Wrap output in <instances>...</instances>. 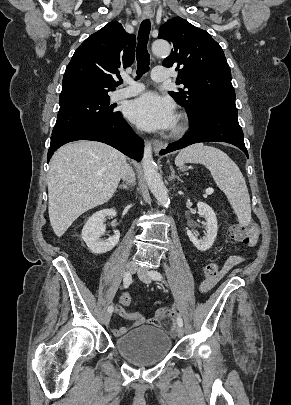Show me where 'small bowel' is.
<instances>
[{"label": "small bowel", "instance_id": "obj_1", "mask_svg": "<svg viewBox=\"0 0 291 405\" xmlns=\"http://www.w3.org/2000/svg\"><path fill=\"white\" fill-rule=\"evenodd\" d=\"M257 237H258L257 229L256 227H252L250 245H254L256 243ZM242 260L243 258L240 256H230L225 262L221 272L219 273V276L214 280L203 281L200 285V291L207 292L208 290H210L214 286L219 277L227 273L234 266L238 265L240 262H242ZM178 310H179L178 307L175 305L171 307H163L156 311V314L153 318L147 319L138 312H127L121 303L115 307V313L126 320L133 321L134 327L139 326L143 323L159 324L165 318L174 319L178 314ZM126 332L127 329L125 327H117L112 330L113 335L116 337H120Z\"/></svg>", "mask_w": 291, "mask_h": 405}]
</instances>
